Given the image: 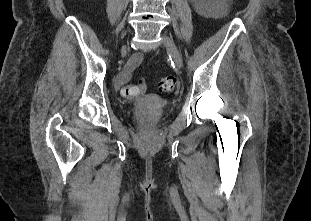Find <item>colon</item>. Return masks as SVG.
<instances>
[{
    "mask_svg": "<svg viewBox=\"0 0 311 221\" xmlns=\"http://www.w3.org/2000/svg\"><path fill=\"white\" fill-rule=\"evenodd\" d=\"M177 80L173 76H165L162 77L159 84L158 89L164 93H172L177 89ZM146 88L144 83H140L138 85H125L122 89V97L126 99H130L134 97L137 93L142 92Z\"/></svg>",
    "mask_w": 311,
    "mask_h": 221,
    "instance_id": "colon-1",
    "label": "colon"
}]
</instances>
